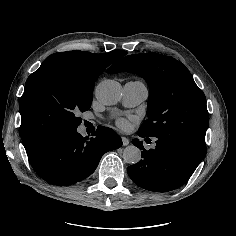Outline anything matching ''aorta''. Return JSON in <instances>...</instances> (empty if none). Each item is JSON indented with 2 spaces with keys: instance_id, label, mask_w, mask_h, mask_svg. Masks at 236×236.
<instances>
[{
  "instance_id": "1",
  "label": "aorta",
  "mask_w": 236,
  "mask_h": 236,
  "mask_svg": "<svg viewBox=\"0 0 236 236\" xmlns=\"http://www.w3.org/2000/svg\"><path fill=\"white\" fill-rule=\"evenodd\" d=\"M97 100L104 105H114L121 99V86L114 80H105L95 90ZM123 159L126 163L136 164L141 160V151L134 145L125 147Z\"/></svg>"
}]
</instances>
